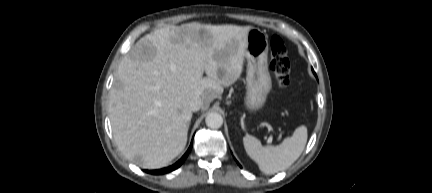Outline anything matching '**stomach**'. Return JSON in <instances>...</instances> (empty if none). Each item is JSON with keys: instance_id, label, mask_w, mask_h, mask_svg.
I'll use <instances>...</instances> for the list:
<instances>
[{"instance_id": "1", "label": "stomach", "mask_w": 432, "mask_h": 193, "mask_svg": "<svg viewBox=\"0 0 432 193\" xmlns=\"http://www.w3.org/2000/svg\"><path fill=\"white\" fill-rule=\"evenodd\" d=\"M268 36L264 31L252 28L247 34V91L244 105L250 112L261 109L271 90L272 81L268 70Z\"/></svg>"}]
</instances>
